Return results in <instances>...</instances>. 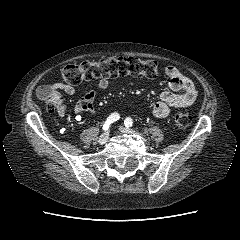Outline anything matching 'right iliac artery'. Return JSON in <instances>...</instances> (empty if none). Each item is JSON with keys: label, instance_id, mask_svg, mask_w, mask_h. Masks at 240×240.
Returning a JSON list of instances; mask_svg holds the SVG:
<instances>
[{"label": "right iliac artery", "instance_id": "right-iliac-artery-1", "mask_svg": "<svg viewBox=\"0 0 240 240\" xmlns=\"http://www.w3.org/2000/svg\"><path fill=\"white\" fill-rule=\"evenodd\" d=\"M120 116L118 113H112L107 120L105 121L104 125H103V130H108L110 125L114 122H116L117 120H119Z\"/></svg>", "mask_w": 240, "mask_h": 240}]
</instances>
